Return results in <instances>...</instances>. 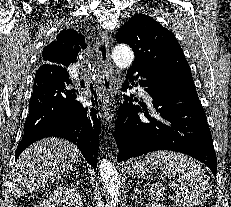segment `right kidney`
Masks as SVG:
<instances>
[{
    "instance_id": "ca27d5eb",
    "label": "right kidney",
    "mask_w": 231,
    "mask_h": 207,
    "mask_svg": "<svg viewBox=\"0 0 231 207\" xmlns=\"http://www.w3.org/2000/svg\"><path fill=\"white\" fill-rule=\"evenodd\" d=\"M82 207L79 192L68 185H60L49 192L39 203L38 207Z\"/></svg>"
}]
</instances>
